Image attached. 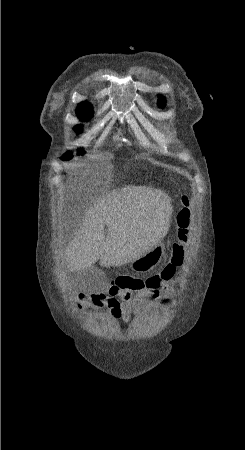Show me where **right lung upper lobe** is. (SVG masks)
I'll return each instance as SVG.
<instances>
[{"label": "right lung upper lobe", "mask_w": 245, "mask_h": 450, "mask_svg": "<svg viewBox=\"0 0 245 450\" xmlns=\"http://www.w3.org/2000/svg\"><path fill=\"white\" fill-rule=\"evenodd\" d=\"M89 109H91V106H90L89 103L81 102V103L78 104V108H77L76 112H77V114H80V113H82V112H84L86 110H89Z\"/></svg>", "instance_id": "1"}]
</instances>
